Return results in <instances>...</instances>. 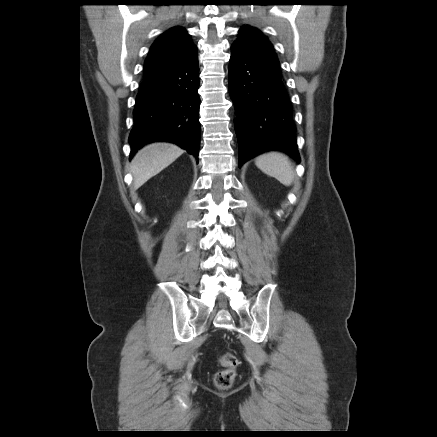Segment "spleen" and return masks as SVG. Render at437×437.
<instances>
[{"label":"spleen","instance_id":"spleen-1","mask_svg":"<svg viewBox=\"0 0 437 437\" xmlns=\"http://www.w3.org/2000/svg\"><path fill=\"white\" fill-rule=\"evenodd\" d=\"M256 166L265 174L276 178L284 186L294 180V170L288 157L279 152H269L258 156Z\"/></svg>","mask_w":437,"mask_h":437}]
</instances>
